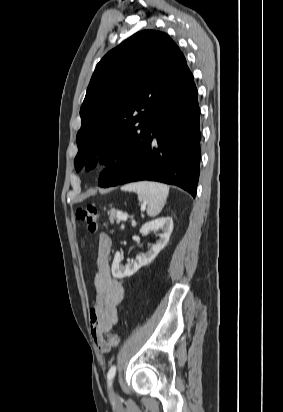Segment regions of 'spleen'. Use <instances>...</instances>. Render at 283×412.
Masks as SVG:
<instances>
[{"label": "spleen", "instance_id": "1", "mask_svg": "<svg viewBox=\"0 0 283 412\" xmlns=\"http://www.w3.org/2000/svg\"><path fill=\"white\" fill-rule=\"evenodd\" d=\"M121 190L137 193L139 202L147 203V214L156 217L162 211L169 187L165 184L151 181H140L124 185Z\"/></svg>", "mask_w": 283, "mask_h": 412}]
</instances>
